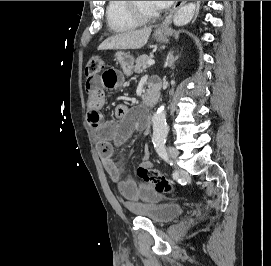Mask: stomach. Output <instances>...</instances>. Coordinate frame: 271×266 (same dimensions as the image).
<instances>
[{
    "label": "stomach",
    "mask_w": 271,
    "mask_h": 266,
    "mask_svg": "<svg viewBox=\"0 0 271 266\" xmlns=\"http://www.w3.org/2000/svg\"><path fill=\"white\" fill-rule=\"evenodd\" d=\"M154 38L158 42H168V32L167 31H156L154 33ZM116 60L119 62L123 72L125 74H130L132 69H133V64H134V58L122 51H118L115 54Z\"/></svg>",
    "instance_id": "obj_1"
}]
</instances>
